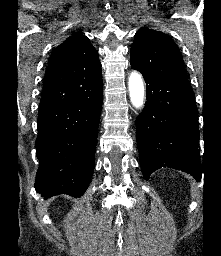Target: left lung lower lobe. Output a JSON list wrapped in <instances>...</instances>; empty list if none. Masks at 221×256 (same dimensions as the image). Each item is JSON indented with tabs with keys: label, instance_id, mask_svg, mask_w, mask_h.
<instances>
[{
	"label": "left lung lower lobe",
	"instance_id": "obj_1",
	"mask_svg": "<svg viewBox=\"0 0 221 256\" xmlns=\"http://www.w3.org/2000/svg\"><path fill=\"white\" fill-rule=\"evenodd\" d=\"M147 101L136 118L141 168L147 180L169 167L200 180L198 110L187 79L144 78Z\"/></svg>",
	"mask_w": 221,
	"mask_h": 256
}]
</instances>
